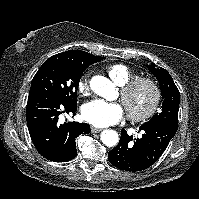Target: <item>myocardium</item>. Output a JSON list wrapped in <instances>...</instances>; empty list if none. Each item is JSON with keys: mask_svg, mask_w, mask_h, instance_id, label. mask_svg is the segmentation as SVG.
I'll return each instance as SVG.
<instances>
[{"mask_svg": "<svg viewBox=\"0 0 199 199\" xmlns=\"http://www.w3.org/2000/svg\"><path fill=\"white\" fill-rule=\"evenodd\" d=\"M141 87L150 91V100L147 107L141 112H134L128 108V99L131 94ZM121 98L127 109L128 117L133 122H143L150 119L157 111L161 100V89L156 80L151 77H135L121 85Z\"/></svg>", "mask_w": 199, "mask_h": 199, "instance_id": "1", "label": "myocardium"}]
</instances>
